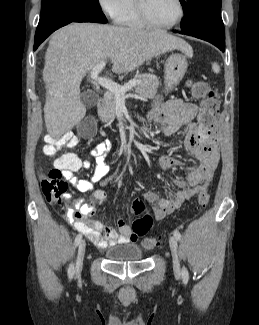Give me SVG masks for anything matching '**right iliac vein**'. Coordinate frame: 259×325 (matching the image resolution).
Wrapping results in <instances>:
<instances>
[{"label":"right iliac vein","mask_w":259,"mask_h":325,"mask_svg":"<svg viewBox=\"0 0 259 325\" xmlns=\"http://www.w3.org/2000/svg\"><path fill=\"white\" fill-rule=\"evenodd\" d=\"M86 250V243L82 240L78 247V253L76 258V274L79 275L83 267V259Z\"/></svg>","instance_id":"right-iliac-vein-1"}]
</instances>
